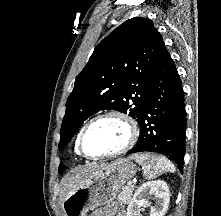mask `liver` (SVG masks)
<instances>
[{
    "label": "liver",
    "instance_id": "obj_1",
    "mask_svg": "<svg viewBox=\"0 0 221 216\" xmlns=\"http://www.w3.org/2000/svg\"><path fill=\"white\" fill-rule=\"evenodd\" d=\"M100 165L97 163H90L84 166L78 167L72 171L71 174L67 175L62 180L63 185V197L81 180L87 177L90 173L95 171Z\"/></svg>",
    "mask_w": 221,
    "mask_h": 216
}]
</instances>
